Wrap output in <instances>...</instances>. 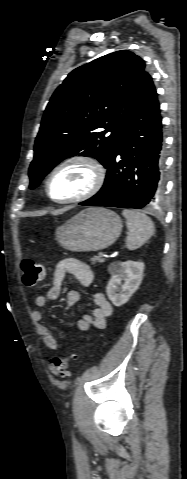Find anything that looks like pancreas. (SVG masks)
<instances>
[{
  "label": "pancreas",
  "instance_id": "pancreas-1",
  "mask_svg": "<svg viewBox=\"0 0 187 479\" xmlns=\"http://www.w3.org/2000/svg\"><path fill=\"white\" fill-rule=\"evenodd\" d=\"M90 261L92 264H95V263H103L105 260L101 258L100 256H94L91 258Z\"/></svg>",
  "mask_w": 187,
  "mask_h": 479
}]
</instances>
